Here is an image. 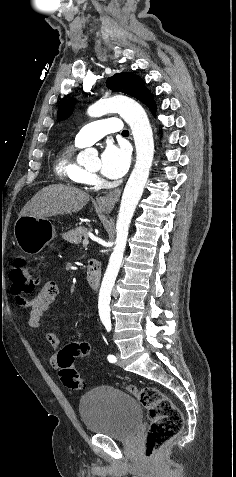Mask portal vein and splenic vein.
<instances>
[{
	"label": "portal vein and splenic vein",
	"instance_id": "portal-vein-and-splenic-vein-1",
	"mask_svg": "<svg viewBox=\"0 0 236 477\" xmlns=\"http://www.w3.org/2000/svg\"><path fill=\"white\" fill-rule=\"evenodd\" d=\"M83 246H87L89 244V240L85 238L82 242Z\"/></svg>",
	"mask_w": 236,
	"mask_h": 477
}]
</instances>
